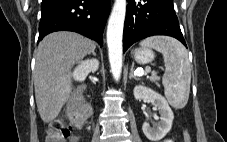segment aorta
Returning a JSON list of instances; mask_svg holds the SVG:
<instances>
[{
  "mask_svg": "<svg viewBox=\"0 0 227 142\" xmlns=\"http://www.w3.org/2000/svg\"><path fill=\"white\" fill-rule=\"evenodd\" d=\"M126 15V0H115L107 26V46L111 72L116 81L122 72V35Z\"/></svg>",
  "mask_w": 227,
  "mask_h": 142,
  "instance_id": "obj_1",
  "label": "aorta"
}]
</instances>
